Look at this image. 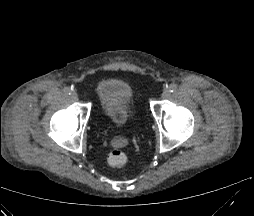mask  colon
Masks as SVG:
<instances>
[{
  "label": "colon",
  "mask_w": 254,
  "mask_h": 216,
  "mask_svg": "<svg viewBox=\"0 0 254 216\" xmlns=\"http://www.w3.org/2000/svg\"><path fill=\"white\" fill-rule=\"evenodd\" d=\"M127 161L126 154L120 148L118 144H116L113 150L108 155V163L112 167H122Z\"/></svg>",
  "instance_id": "obj_1"
}]
</instances>
